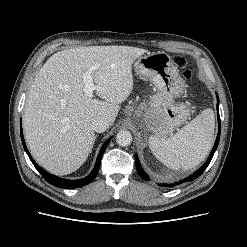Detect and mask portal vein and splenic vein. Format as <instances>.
I'll return each instance as SVG.
<instances>
[{"mask_svg":"<svg viewBox=\"0 0 247 247\" xmlns=\"http://www.w3.org/2000/svg\"><path fill=\"white\" fill-rule=\"evenodd\" d=\"M95 69H96V66L90 68L88 71H86L83 74L84 92L89 97L93 96V91L95 89L100 88L99 86H96L93 82L92 73Z\"/></svg>","mask_w":247,"mask_h":247,"instance_id":"18ae733b","label":"portal vein and splenic vein"}]
</instances>
